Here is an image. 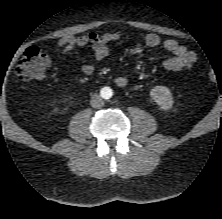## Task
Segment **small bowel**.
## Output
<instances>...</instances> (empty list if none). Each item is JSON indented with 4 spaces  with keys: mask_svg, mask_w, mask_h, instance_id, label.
I'll list each match as a JSON object with an SVG mask.
<instances>
[{
    "mask_svg": "<svg viewBox=\"0 0 222 219\" xmlns=\"http://www.w3.org/2000/svg\"><path fill=\"white\" fill-rule=\"evenodd\" d=\"M120 38V32L98 33L91 31L82 36H65L59 40L58 46L64 51H71L76 47L89 45L94 53L95 59L97 61H102L109 54V44L118 41ZM145 43L151 48L162 47L171 54V56L166 58L163 62L164 67L168 70H187L196 62L195 53L174 39H166L162 42L157 34L149 33L145 36ZM94 71L95 66L92 63H87L82 67L83 74L87 76L93 74ZM128 81L129 78L127 75H120L115 78V84L119 87L126 86Z\"/></svg>",
    "mask_w": 222,
    "mask_h": 219,
    "instance_id": "c3829d8e",
    "label": "small bowel"
}]
</instances>
